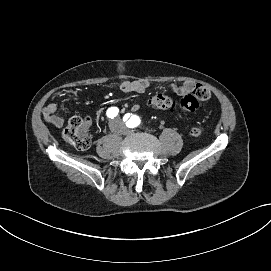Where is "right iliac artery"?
Segmentation results:
<instances>
[{
	"label": "right iliac artery",
	"mask_w": 271,
	"mask_h": 271,
	"mask_svg": "<svg viewBox=\"0 0 271 271\" xmlns=\"http://www.w3.org/2000/svg\"><path fill=\"white\" fill-rule=\"evenodd\" d=\"M118 112H119V109L117 108V107H111V108H109L108 110H107V116L109 117V118H114V117H116L117 116V114H118Z\"/></svg>",
	"instance_id": "obj_1"
}]
</instances>
